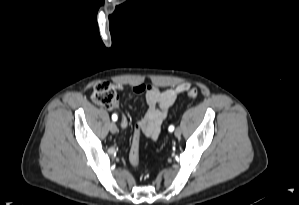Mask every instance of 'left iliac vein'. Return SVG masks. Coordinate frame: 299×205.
Masks as SVG:
<instances>
[{
	"label": "left iliac vein",
	"instance_id": "1",
	"mask_svg": "<svg viewBox=\"0 0 299 205\" xmlns=\"http://www.w3.org/2000/svg\"><path fill=\"white\" fill-rule=\"evenodd\" d=\"M175 136L176 137H180L181 136V129L180 128H177L174 132Z\"/></svg>",
	"mask_w": 299,
	"mask_h": 205
}]
</instances>
